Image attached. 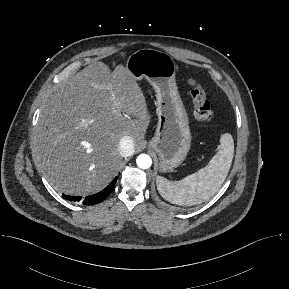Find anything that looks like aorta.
<instances>
[{
	"label": "aorta",
	"mask_w": 289,
	"mask_h": 289,
	"mask_svg": "<svg viewBox=\"0 0 289 289\" xmlns=\"http://www.w3.org/2000/svg\"><path fill=\"white\" fill-rule=\"evenodd\" d=\"M136 163H137L139 168L148 169L152 165V159L147 154H141L137 157Z\"/></svg>",
	"instance_id": "762f6f07"
}]
</instances>
